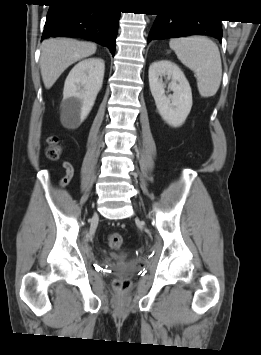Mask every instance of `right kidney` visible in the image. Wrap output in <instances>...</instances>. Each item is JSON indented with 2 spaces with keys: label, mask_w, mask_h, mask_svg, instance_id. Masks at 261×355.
<instances>
[{
  "label": "right kidney",
  "mask_w": 261,
  "mask_h": 355,
  "mask_svg": "<svg viewBox=\"0 0 261 355\" xmlns=\"http://www.w3.org/2000/svg\"><path fill=\"white\" fill-rule=\"evenodd\" d=\"M104 60L89 58L76 64L67 76L61 103L66 125L77 127L90 113L103 83Z\"/></svg>",
  "instance_id": "ca27d5eb"
}]
</instances>
